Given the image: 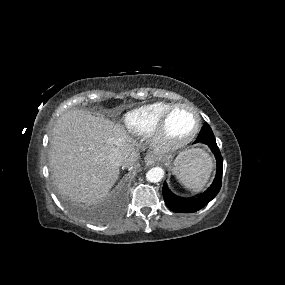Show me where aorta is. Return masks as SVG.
<instances>
[{
	"instance_id": "1",
	"label": "aorta",
	"mask_w": 285,
	"mask_h": 285,
	"mask_svg": "<svg viewBox=\"0 0 285 285\" xmlns=\"http://www.w3.org/2000/svg\"><path fill=\"white\" fill-rule=\"evenodd\" d=\"M164 177V170L160 167H154L146 173V179L152 183L161 181Z\"/></svg>"
}]
</instances>
